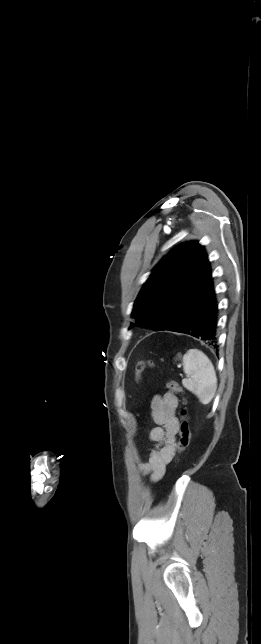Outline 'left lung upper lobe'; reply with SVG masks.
Segmentation results:
<instances>
[{"mask_svg": "<svg viewBox=\"0 0 261 644\" xmlns=\"http://www.w3.org/2000/svg\"><path fill=\"white\" fill-rule=\"evenodd\" d=\"M213 288L210 263L203 246L197 241L183 243L153 269L135 300L132 317L137 324L155 331L168 330L183 320Z\"/></svg>", "mask_w": 261, "mask_h": 644, "instance_id": "1", "label": "left lung upper lobe"}]
</instances>
